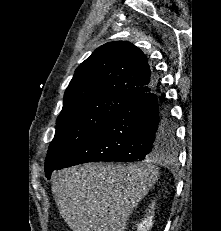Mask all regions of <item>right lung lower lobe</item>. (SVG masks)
Returning <instances> with one entry per match:
<instances>
[{
  "instance_id": "1",
  "label": "right lung lower lobe",
  "mask_w": 221,
  "mask_h": 231,
  "mask_svg": "<svg viewBox=\"0 0 221 231\" xmlns=\"http://www.w3.org/2000/svg\"><path fill=\"white\" fill-rule=\"evenodd\" d=\"M165 100L155 77L154 89L117 110L55 169L86 162H133L160 156L174 144V127ZM50 175L51 172L46 174L48 179Z\"/></svg>"
}]
</instances>
